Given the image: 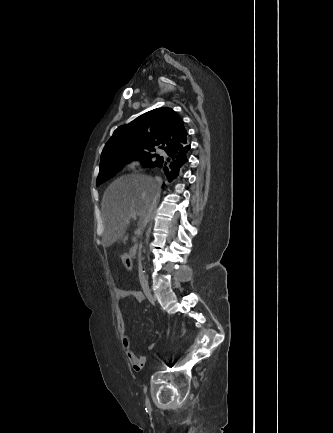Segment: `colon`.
Wrapping results in <instances>:
<instances>
[{
	"mask_svg": "<svg viewBox=\"0 0 333 433\" xmlns=\"http://www.w3.org/2000/svg\"><path fill=\"white\" fill-rule=\"evenodd\" d=\"M121 262L127 270H130L132 268V263L129 257H122Z\"/></svg>",
	"mask_w": 333,
	"mask_h": 433,
	"instance_id": "obj_1",
	"label": "colon"
}]
</instances>
